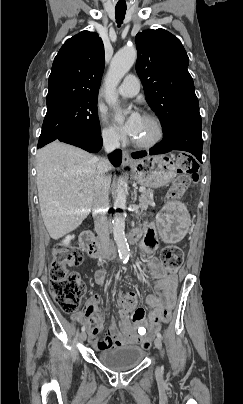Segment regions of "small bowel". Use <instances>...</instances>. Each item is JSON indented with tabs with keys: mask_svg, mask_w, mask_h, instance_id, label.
Returning a JSON list of instances; mask_svg holds the SVG:
<instances>
[{
	"mask_svg": "<svg viewBox=\"0 0 243 404\" xmlns=\"http://www.w3.org/2000/svg\"><path fill=\"white\" fill-rule=\"evenodd\" d=\"M157 234L153 226H147L143 230L140 243L141 251L146 255L147 265L155 272L158 282L156 293L147 296L146 304L150 308L146 314L143 308H137L130 316L124 317L121 329L113 323L110 326L109 335L103 339L98 338L99 333V296L94 294L86 304L84 313L74 316L75 320L85 322L88 326L89 342L98 351L109 348L131 345L152 337L160 329L165 314H170L175 303V292L178 278L176 275L167 274L158 260L153 256L157 247ZM104 271H98L96 281L103 284Z\"/></svg>",
	"mask_w": 243,
	"mask_h": 404,
	"instance_id": "obj_1",
	"label": "small bowel"
}]
</instances>
